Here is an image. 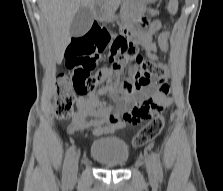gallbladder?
I'll use <instances>...</instances> for the list:
<instances>
[{
	"label": "gallbladder",
	"mask_w": 223,
	"mask_h": 191,
	"mask_svg": "<svg viewBox=\"0 0 223 191\" xmlns=\"http://www.w3.org/2000/svg\"><path fill=\"white\" fill-rule=\"evenodd\" d=\"M92 22V11L88 7L81 6L72 20L70 35L72 37H81L85 35L89 31Z\"/></svg>",
	"instance_id": "gallbladder-1"
}]
</instances>
